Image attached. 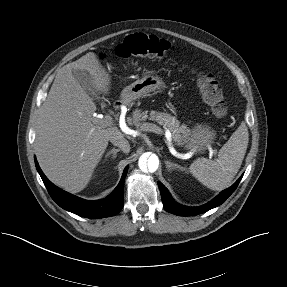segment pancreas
Returning a JSON list of instances; mask_svg holds the SVG:
<instances>
[{
	"mask_svg": "<svg viewBox=\"0 0 287 287\" xmlns=\"http://www.w3.org/2000/svg\"><path fill=\"white\" fill-rule=\"evenodd\" d=\"M147 119L155 121L164 128L169 129L172 133L173 140L178 145L184 141L190 131L185 125H180V122L176 117L169 113L154 110H151L150 113H148V111H142L140 109H136L133 112L132 122L137 128H140V130H144V123L142 122Z\"/></svg>",
	"mask_w": 287,
	"mask_h": 287,
	"instance_id": "pancreas-1",
	"label": "pancreas"
}]
</instances>
